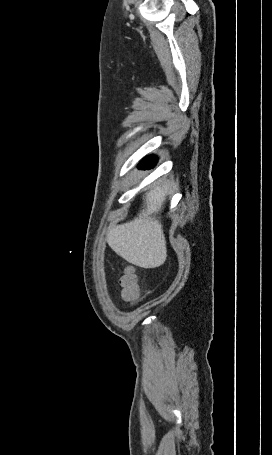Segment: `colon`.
Masks as SVG:
<instances>
[{
    "mask_svg": "<svg viewBox=\"0 0 272 455\" xmlns=\"http://www.w3.org/2000/svg\"><path fill=\"white\" fill-rule=\"evenodd\" d=\"M122 297L128 302H134L140 295V285L132 267L125 268L121 278Z\"/></svg>",
    "mask_w": 272,
    "mask_h": 455,
    "instance_id": "5ec220e1",
    "label": "colon"
}]
</instances>
